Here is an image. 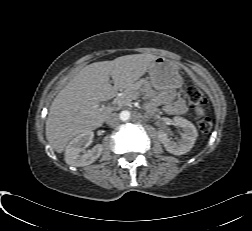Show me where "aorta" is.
Returning <instances> with one entry per match:
<instances>
[{"mask_svg":"<svg viewBox=\"0 0 252 231\" xmlns=\"http://www.w3.org/2000/svg\"><path fill=\"white\" fill-rule=\"evenodd\" d=\"M131 117V113L127 110H124L120 113V119L122 121H127Z\"/></svg>","mask_w":252,"mask_h":231,"instance_id":"762f6f07","label":"aorta"}]
</instances>
